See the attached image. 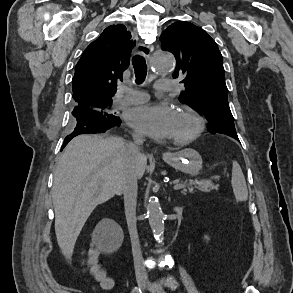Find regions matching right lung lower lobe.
<instances>
[{"label":"right lung lower lobe","instance_id":"obj_1","mask_svg":"<svg viewBox=\"0 0 293 293\" xmlns=\"http://www.w3.org/2000/svg\"><path fill=\"white\" fill-rule=\"evenodd\" d=\"M72 115L75 128L72 133L65 137L62 149L72 138L79 134L105 132L112 127L120 125V119L115 115H105L93 109L75 107Z\"/></svg>","mask_w":293,"mask_h":293}]
</instances>
